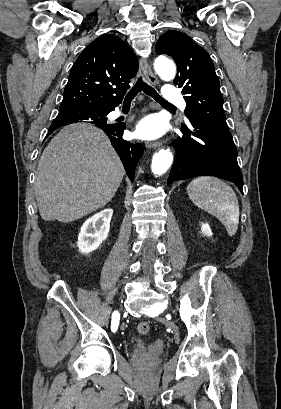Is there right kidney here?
<instances>
[{"mask_svg": "<svg viewBox=\"0 0 281 409\" xmlns=\"http://www.w3.org/2000/svg\"><path fill=\"white\" fill-rule=\"evenodd\" d=\"M112 215L113 209H103L83 223L77 243L81 253L95 251L107 239Z\"/></svg>", "mask_w": 281, "mask_h": 409, "instance_id": "1", "label": "right kidney"}]
</instances>
